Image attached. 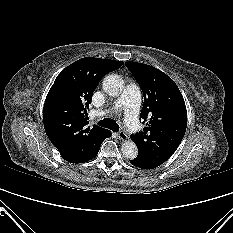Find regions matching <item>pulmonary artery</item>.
Returning <instances> with one entry per match:
<instances>
[{
    "label": "pulmonary artery",
    "mask_w": 233,
    "mask_h": 233,
    "mask_svg": "<svg viewBox=\"0 0 233 233\" xmlns=\"http://www.w3.org/2000/svg\"><path fill=\"white\" fill-rule=\"evenodd\" d=\"M140 102V92L136 84H128L121 95L114 103V110L123 109L125 112V122L129 131L136 134L139 131L138 109ZM98 115H104L105 111L97 112Z\"/></svg>",
    "instance_id": "e3ab8cb5"
}]
</instances>
